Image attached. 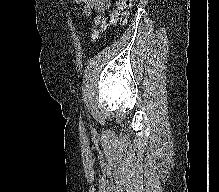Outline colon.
<instances>
[{
    "mask_svg": "<svg viewBox=\"0 0 219 192\" xmlns=\"http://www.w3.org/2000/svg\"><path fill=\"white\" fill-rule=\"evenodd\" d=\"M135 0H120L116 9L110 16L99 15L91 23L92 38L97 40L101 33L112 24H124L129 10L132 8Z\"/></svg>",
    "mask_w": 219,
    "mask_h": 192,
    "instance_id": "5ec220e1",
    "label": "colon"
}]
</instances>
